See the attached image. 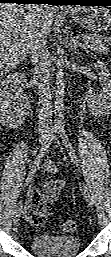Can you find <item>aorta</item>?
I'll return each instance as SVG.
<instances>
[{
    "label": "aorta",
    "mask_w": 111,
    "mask_h": 257,
    "mask_svg": "<svg viewBox=\"0 0 111 257\" xmlns=\"http://www.w3.org/2000/svg\"><path fill=\"white\" fill-rule=\"evenodd\" d=\"M59 57H63V50H58ZM62 60L60 61V68L56 73V96H55V109L58 114V119L56 121L57 124L60 123V116L63 110V96H64V75L63 70L61 68Z\"/></svg>",
    "instance_id": "1"
}]
</instances>
